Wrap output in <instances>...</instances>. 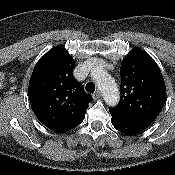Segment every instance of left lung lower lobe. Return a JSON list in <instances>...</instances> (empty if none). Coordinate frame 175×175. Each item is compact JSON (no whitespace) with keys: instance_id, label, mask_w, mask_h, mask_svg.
<instances>
[{"instance_id":"left-lung-lower-lobe-1","label":"left lung lower lobe","mask_w":175,"mask_h":175,"mask_svg":"<svg viewBox=\"0 0 175 175\" xmlns=\"http://www.w3.org/2000/svg\"><path fill=\"white\" fill-rule=\"evenodd\" d=\"M112 125L118 131L126 134V135H135L137 133L145 130L153 120L150 119H133V118H125L115 114H111Z\"/></svg>"}]
</instances>
